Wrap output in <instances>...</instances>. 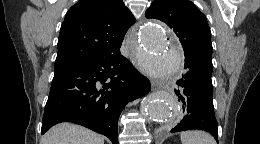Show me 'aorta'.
<instances>
[{
    "mask_svg": "<svg viewBox=\"0 0 260 144\" xmlns=\"http://www.w3.org/2000/svg\"><path fill=\"white\" fill-rule=\"evenodd\" d=\"M140 46L148 55L138 60L142 70L154 79L167 80L181 67L182 57L176 38L155 20L147 21L140 29ZM141 113L147 122H163L168 128L176 125L181 114L174 96L154 92L141 102Z\"/></svg>",
    "mask_w": 260,
    "mask_h": 144,
    "instance_id": "762f6f07",
    "label": "aorta"
}]
</instances>
